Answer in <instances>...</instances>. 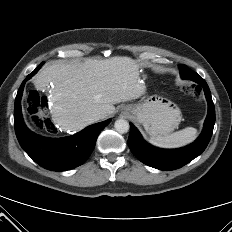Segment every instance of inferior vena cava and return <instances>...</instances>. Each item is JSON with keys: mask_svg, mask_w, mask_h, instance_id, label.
<instances>
[{"mask_svg": "<svg viewBox=\"0 0 232 232\" xmlns=\"http://www.w3.org/2000/svg\"><path fill=\"white\" fill-rule=\"evenodd\" d=\"M104 117V113L102 112H95L91 115V121L95 122L98 121L99 119H102Z\"/></svg>", "mask_w": 232, "mask_h": 232, "instance_id": "inferior-vena-cava-1", "label": "inferior vena cava"}]
</instances>
